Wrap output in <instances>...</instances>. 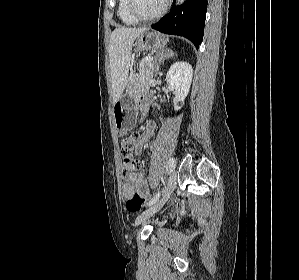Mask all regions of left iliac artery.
<instances>
[{"mask_svg":"<svg viewBox=\"0 0 299 280\" xmlns=\"http://www.w3.org/2000/svg\"><path fill=\"white\" fill-rule=\"evenodd\" d=\"M176 163L175 160L173 158H170L167 162V166H166V172L167 174L171 173L174 169H175ZM160 197V193L158 192L152 199L151 201L148 203V206L153 205L154 203H156V201L159 199Z\"/></svg>","mask_w":299,"mask_h":280,"instance_id":"1","label":"left iliac artery"}]
</instances>
